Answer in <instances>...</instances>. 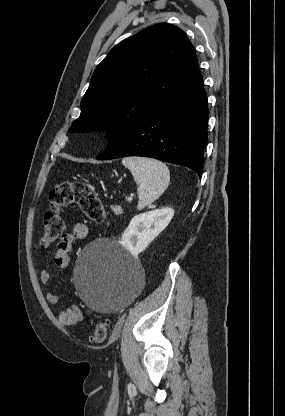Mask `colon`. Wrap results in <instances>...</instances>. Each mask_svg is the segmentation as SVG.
<instances>
[{
    "label": "colon",
    "instance_id": "1",
    "mask_svg": "<svg viewBox=\"0 0 285 416\" xmlns=\"http://www.w3.org/2000/svg\"><path fill=\"white\" fill-rule=\"evenodd\" d=\"M76 206L92 222L102 224L106 221V211L99 196L81 182L63 181L49 193V210L44 217V229L40 239L45 248L62 236L65 223L62 218L63 208ZM110 331V323L104 319L93 328L91 340L103 342Z\"/></svg>",
    "mask_w": 285,
    "mask_h": 416
}]
</instances>
